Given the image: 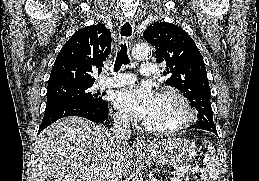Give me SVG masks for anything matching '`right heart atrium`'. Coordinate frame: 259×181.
<instances>
[{"instance_id":"d8ad5b80","label":"right heart atrium","mask_w":259,"mask_h":181,"mask_svg":"<svg viewBox=\"0 0 259 181\" xmlns=\"http://www.w3.org/2000/svg\"><path fill=\"white\" fill-rule=\"evenodd\" d=\"M115 119L119 124H122V125H127L129 123V118L122 113H117L115 115Z\"/></svg>"}]
</instances>
